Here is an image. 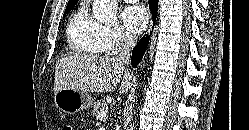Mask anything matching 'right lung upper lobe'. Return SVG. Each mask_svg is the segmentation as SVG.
I'll return each mask as SVG.
<instances>
[{"label":"right lung upper lobe","instance_id":"right-lung-upper-lobe-1","mask_svg":"<svg viewBox=\"0 0 249 130\" xmlns=\"http://www.w3.org/2000/svg\"><path fill=\"white\" fill-rule=\"evenodd\" d=\"M78 2V0H69L68 4L67 5H70V4H76Z\"/></svg>","mask_w":249,"mask_h":130}]
</instances>
